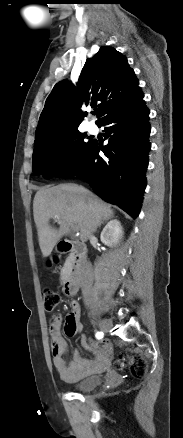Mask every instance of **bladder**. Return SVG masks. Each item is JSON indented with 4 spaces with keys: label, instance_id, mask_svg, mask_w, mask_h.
<instances>
[{
    "label": "bladder",
    "instance_id": "31cf9c89",
    "mask_svg": "<svg viewBox=\"0 0 183 438\" xmlns=\"http://www.w3.org/2000/svg\"><path fill=\"white\" fill-rule=\"evenodd\" d=\"M101 381V377L99 375H92L85 377L79 381H77L74 385V389L80 392H87L96 388Z\"/></svg>",
    "mask_w": 183,
    "mask_h": 438
}]
</instances>
